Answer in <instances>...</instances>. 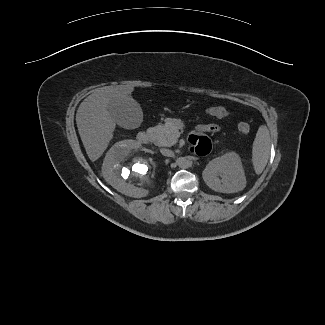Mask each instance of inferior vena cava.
<instances>
[{"mask_svg":"<svg viewBox=\"0 0 325 325\" xmlns=\"http://www.w3.org/2000/svg\"><path fill=\"white\" fill-rule=\"evenodd\" d=\"M161 154L164 156H168V157H173L174 156V152L172 150L169 149H161L160 150Z\"/></svg>","mask_w":325,"mask_h":325,"instance_id":"obj_1","label":"inferior vena cava"}]
</instances>
